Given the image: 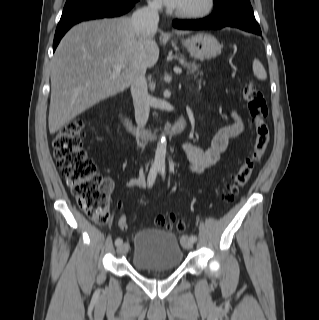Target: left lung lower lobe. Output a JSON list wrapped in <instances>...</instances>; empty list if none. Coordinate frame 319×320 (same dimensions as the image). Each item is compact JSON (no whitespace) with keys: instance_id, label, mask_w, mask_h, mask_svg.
Returning <instances> with one entry per match:
<instances>
[{"instance_id":"obj_1","label":"left lung lower lobe","mask_w":319,"mask_h":320,"mask_svg":"<svg viewBox=\"0 0 319 320\" xmlns=\"http://www.w3.org/2000/svg\"><path fill=\"white\" fill-rule=\"evenodd\" d=\"M178 29L200 30L220 29L226 26L261 35L260 27L254 17L250 2L233 0L214 7L213 13L200 20H175Z\"/></svg>"}]
</instances>
